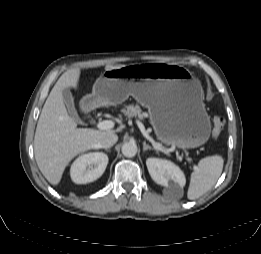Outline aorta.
Instances as JSON below:
<instances>
[{"label": "aorta", "mask_w": 261, "mask_h": 254, "mask_svg": "<svg viewBox=\"0 0 261 254\" xmlns=\"http://www.w3.org/2000/svg\"><path fill=\"white\" fill-rule=\"evenodd\" d=\"M137 150V145L134 142H127L122 146V154L125 157H134L137 153Z\"/></svg>", "instance_id": "1"}]
</instances>
